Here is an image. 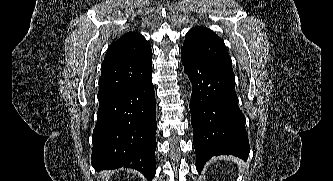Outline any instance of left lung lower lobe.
<instances>
[{
	"mask_svg": "<svg viewBox=\"0 0 333 181\" xmlns=\"http://www.w3.org/2000/svg\"><path fill=\"white\" fill-rule=\"evenodd\" d=\"M181 56L193 85L190 111L197 170L201 172L213 156L233 155L247 160L249 141L234 74L186 51L181 50Z\"/></svg>",
	"mask_w": 333,
	"mask_h": 181,
	"instance_id": "obj_1",
	"label": "left lung lower lobe"
}]
</instances>
